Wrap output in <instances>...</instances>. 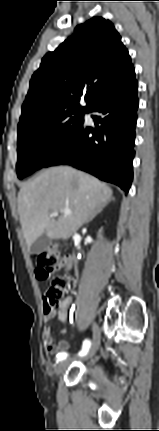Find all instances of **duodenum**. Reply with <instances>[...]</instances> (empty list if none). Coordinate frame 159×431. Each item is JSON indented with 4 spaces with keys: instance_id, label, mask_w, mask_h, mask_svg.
<instances>
[{
    "instance_id": "obj_1",
    "label": "duodenum",
    "mask_w": 159,
    "mask_h": 431,
    "mask_svg": "<svg viewBox=\"0 0 159 431\" xmlns=\"http://www.w3.org/2000/svg\"><path fill=\"white\" fill-rule=\"evenodd\" d=\"M68 257L70 258L71 262L73 263V260H72V258H71L70 256H68Z\"/></svg>"
}]
</instances>
